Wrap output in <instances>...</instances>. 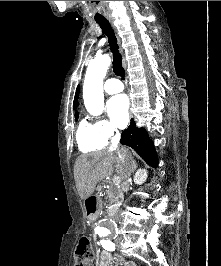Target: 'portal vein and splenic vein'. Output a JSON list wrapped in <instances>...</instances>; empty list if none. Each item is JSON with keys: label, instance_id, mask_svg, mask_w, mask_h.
Wrapping results in <instances>:
<instances>
[{"label": "portal vein and splenic vein", "instance_id": "portal-vein-and-splenic-vein-1", "mask_svg": "<svg viewBox=\"0 0 221 266\" xmlns=\"http://www.w3.org/2000/svg\"><path fill=\"white\" fill-rule=\"evenodd\" d=\"M120 182H121V178H120V176H114V177H113V184H114V185H119Z\"/></svg>", "mask_w": 221, "mask_h": 266}]
</instances>
